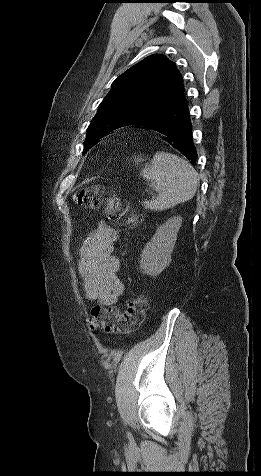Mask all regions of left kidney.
<instances>
[{
    "label": "left kidney",
    "mask_w": 261,
    "mask_h": 476,
    "mask_svg": "<svg viewBox=\"0 0 261 476\" xmlns=\"http://www.w3.org/2000/svg\"><path fill=\"white\" fill-rule=\"evenodd\" d=\"M181 223L182 218L177 216L168 219L157 229L141 253L140 267L143 273L157 276L170 264Z\"/></svg>",
    "instance_id": "5707ae66"
}]
</instances>
